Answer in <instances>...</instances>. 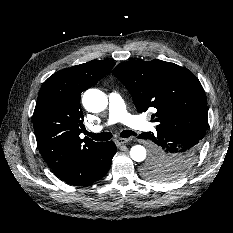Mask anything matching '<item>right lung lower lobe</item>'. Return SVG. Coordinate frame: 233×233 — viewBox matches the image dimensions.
<instances>
[{"label": "right lung lower lobe", "mask_w": 233, "mask_h": 233, "mask_svg": "<svg viewBox=\"0 0 233 233\" xmlns=\"http://www.w3.org/2000/svg\"><path fill=\"white\" fill-rule=\"evenodd\" d=\"M116 151L112 141L99 143L55 175L70 185H89L106 175Z\"/></svg>", "instance_id": "obj_1"}]
</instances>
